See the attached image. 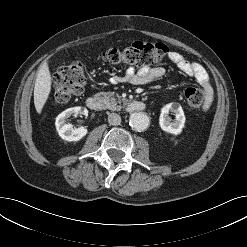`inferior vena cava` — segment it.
I'll return each instance as SVG.
<instances>
[{"label":"inferior vena cava","mask_w":247,"mask_h":247,"mask_svg":"<svg viewBox=\"0 0 247 247\" xmlns=\"http://www.w3.org/2000/svg\"><path fill=\"white\" fill-rule=\"evenodd\" d=\"M108 122L110 125H119L121 123V117L117 113H110L108 115Z\"/></svg>","instance_id":"obj_1"}]
</instances>
